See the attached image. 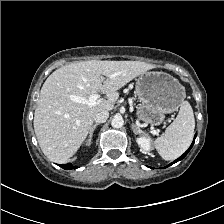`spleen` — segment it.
<instances>
[{
    "label": "spleen",
    "mask_w": 224,
    "mask_h": 224,
    "mask_svg": "<svg viewBox=\"0 0 224 224\" xmlns=\"http://www.w3.org/2000/svg\"><path fill=\"white\" fill-rule=\"evenodd\" d=\"M195 128L193 109L183 101L176 119L166 128L165 133L154 141V146L164 160L180 157L190 146Z\"/></svg>",
    "instance_id": "obj_1"
}]
</instances>
